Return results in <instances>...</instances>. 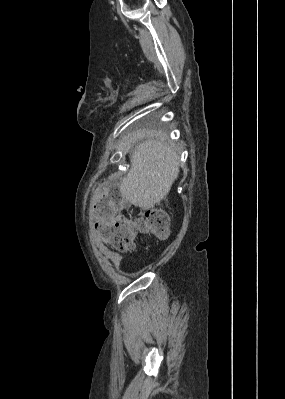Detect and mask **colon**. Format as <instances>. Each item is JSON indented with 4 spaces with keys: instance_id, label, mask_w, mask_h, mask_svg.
Returning <instances> with one entry per match:
<instances>
[{
    "instance_id": "5ec220e1",
    "label": "colon",
    "mask_w": 285,
    "mask_h": 399,
    "mask_svg": "<svg viewBox=\"0 0 285 399\" xmlns=\"http://www.w3.org/2000/svg\"><path fill=\"white\" fill-rule=\"evenodd\" d=\"M120 196L117 189L106 187L91 204L100 238L120 253L131 252L140 234L166 237L169 219L164 209L147 207L134 215L117 213Z\"/></svg>"
}]
</instances>
